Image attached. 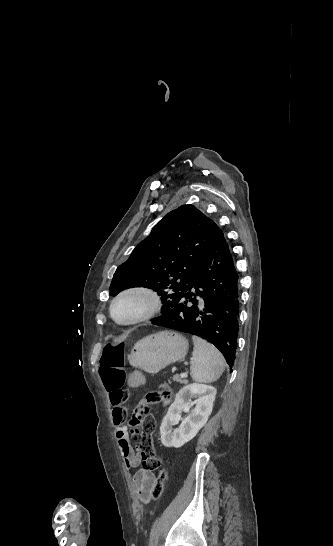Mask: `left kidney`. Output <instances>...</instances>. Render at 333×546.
<instances>
[{"instance_id": "obj_1", "label": "left kidney", "mask_w": 333, "mask_h": 546, "mask_svg": "<svg viewBox=\"0 0 333 546\" xmlns=\"http://www.w3.org/2000/svg\"><path fill=\"white\" fill-rule=\"evenodd\" d=\"M216 393L213 386L197 383L188 384L179 390L160 426L162 444L166 447L179 448L193 439L206 424L212 412ZM193 405L195 408L182 420L179 428L174 429L173 426L182 419L181 412L189 410Z\"/></svg>"}]
</instances>
